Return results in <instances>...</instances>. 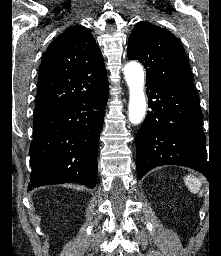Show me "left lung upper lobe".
<instances>
[{"instance_id": "obj_1", "label": "left lung upper lobe", "mask_w": 221, "mask_h": 256, "mask_svg": "<svg viewBox=\"0 0 221 256\" xmlns=\"http://www.w3.org/2000/svg\"><path fill=\"white\" fill-rule=\"evenodd\" d=\"M128 58L141 62L147 83H165L193 88L189 62L180 41L168 30L146 21L130 34Z\"/></svg>"}]
</instances>
